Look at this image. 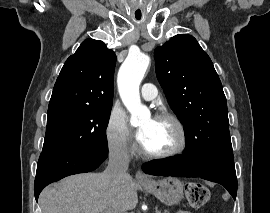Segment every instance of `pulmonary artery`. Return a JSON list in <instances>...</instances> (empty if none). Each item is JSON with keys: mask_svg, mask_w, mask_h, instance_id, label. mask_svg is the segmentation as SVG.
Listing matches in <instances>:
<instances>
[{"mask_svg": "<svg viewBox=\"0 0 270 213\" xmlns=\"http://www.w3.org/2000/svg\"><path fill=\"white\" fill-rule=\"evenodd\" d=\"M141 95L147 101L154 100L157 95V90H156L155 85L152 83L143 84Z\"/></svg>", "mask_w": 270, "mask_h": 213, "instance_id": "e3ab8cb5", "label": "pulmonary artery"}]
</instances>
